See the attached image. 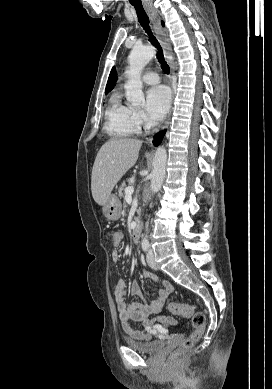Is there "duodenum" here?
Masks as SVG:
<instances>
[{"label": "duodenum", "instance_id": "duodenum-1", "mask_svg": "<svg viewBox=\"0 0 272 389\" xmlns=\"http://www.w3.org/2000/svg\"><path fill=\"white\" fill-rule=\"evenodd\" d=\"M142 231V226L140 222H136L131 230V236L134 242H138L140 240Z\"/></svg>", "mask_w": 272, "mask_h": 389}]
</instances>
